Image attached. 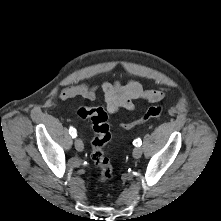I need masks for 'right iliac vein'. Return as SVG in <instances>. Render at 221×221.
<instances>
[{
	"mask_svg": "<svg viewBox=\"0 0 221 221\" xmlns=\"http://www.w3.org/2000/svg\"><path fill=\"white\" fill-rule=\"evenodd\" d=\"M74 144H75V148H76L77 151H79V152H82V151H83V149H84V144H83V142H82L81 139H76L75 142H74Z\"/></svg>",
	"mask_w": 221,
	"mask_h": 221,
	"instance_id": "1",
	"label": "right iliac vein"
}]
</instances>
